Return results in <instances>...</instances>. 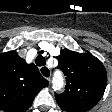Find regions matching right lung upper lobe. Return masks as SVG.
Returning <instances> with one entry per match:
<instances>
[{"label":"right lung upper lobe","mask_w":112,"mask_h":112,"mask_svg":"<svg viewBox=\"0 0 112 112\" xmlns=\"http://www.w3.org/2000/svg\"><path fill=\"white\" fill-rule=\"evenodd\" d=\"M48 81L33 64H27L16 51L0 54V109L26 112L34 97Z\"/></svg>","instance_id":"right-lung-upper-lobe-1"}]
</instances>
